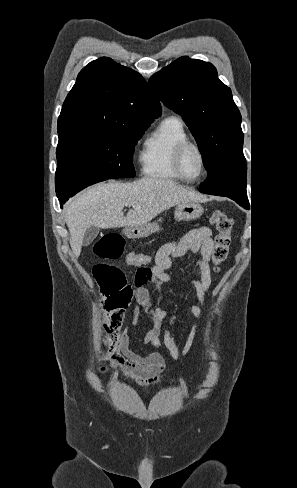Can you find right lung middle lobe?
Segmentation results:
<instances>
[{"label":"right lung middle lobe","mask_w":297,"mask_h":488,"mask_svg":"<svg viewBox=\"0 0 297 488\" xmlns=\"http://www.w3.org/2000/svg\"><path fill=\"white\" fill-rule=\"evenodd\" d=\"M149 125L59 138L55 176L59 200H67L85 187L107 179L134 177V145Z\"/></svg>","instance_id":"obj_1"}]
</instances>
